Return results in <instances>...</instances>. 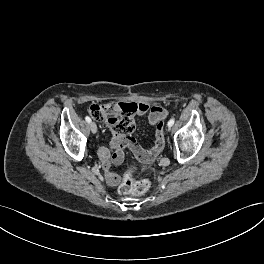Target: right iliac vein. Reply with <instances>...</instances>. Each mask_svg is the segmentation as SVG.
Masks as SVG:
<instances>
[{"mask_svg": "<svg viewBox=\"0 0 264 264\" xmlns=\"http://www.w3.org/2000/svg\"><path fill=\"white\" fill-rule=\"evenodd\" d=\"M90 130L93 134H95L97 132V125L95 122H91L90 123Z\"/></svg>", "mask_w": 264, "mask_h": 264, "instance_id": "1", "label": "right iliac vein"}]
</instances>
